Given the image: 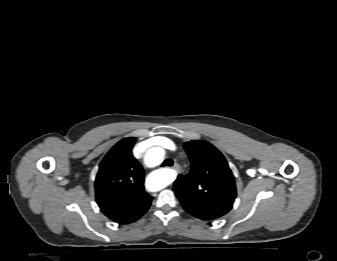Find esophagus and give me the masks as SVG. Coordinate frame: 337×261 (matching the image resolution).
<instances>
[{
  "mask_svg": "<svg viewBox=\"0 0 337 261\" xmlns=\"http://www.w3.org/2000/svg\"><path fill=\"white\" fill-rule=\"evenodd\" d=\"M178 167H179L178 164H174L173 166L174 169H178Z\"/></svg>",
  "mask_w": 337,
  "mask_h": 261,
  "instance_id": "obj_1",
  "label": "esophagus"
}]
</instances>
